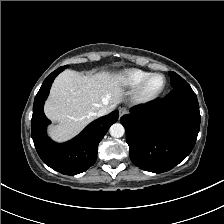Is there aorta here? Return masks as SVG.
Instances as JSON below:
<instances>
[{"label":"aorta","mask_w":224,"mask_h":224,"mask_svg":"<svg viewBox=\"0 0 224 224\" xmlns=\"http://www.w3.org/2000/svg\"><path fill=\"white\" fill-rule=\"evenodd\" d=\"M110 135L115 138H120L124 135L125 129L122 124L115 123L109 129Z\"/></svg>","instance_id":"aorta-1"}]
</instances>
